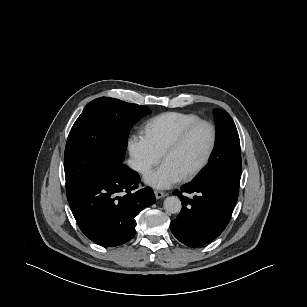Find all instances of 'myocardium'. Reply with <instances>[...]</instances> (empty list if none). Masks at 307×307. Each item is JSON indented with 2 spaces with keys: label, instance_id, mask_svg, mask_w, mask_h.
Masks as SVG:
<instances>
[{
  "label": "myocardium",
  "instance_id": "obj_1",
  "mask_svg": "<svg viewBox=\"0 0 307 307\" xmlns=\"http://www.w3.org/2000/svg\"><path fill=\"white\" fill-rule=\"evenodd\" d=\"M201 125H205L210 129L211 132V139H210V144L209 147L207 149V152L204 156V158L202 159V161L198 164V166L193 169L191 172H189L188 174L184 175L182 177V179L184 181H189L194 179L196 176H198L203 170L204 168L207 166V164L209 163L213 152L215 150L216 147V142H217V130L215 125L208 121V120H197L194 121L192 123H190L189 125H187L186 127H184L179 133L178 135L174 138V140L167 146V148L165 149V151L162 154V158L163 160H165V158L170 155L171 153H173L174 151H176L182 144L183 142L186 140V138L188 137V135L197 127L201 126Z\"/></svg>",
  "mask_w": 307,
  "mask_h": 307
}]
</instances>
